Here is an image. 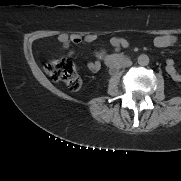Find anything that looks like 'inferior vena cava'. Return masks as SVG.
Here are the masks:
<instances>
[{
	"mask_svg": "<svg viewBox=\"0 0 181 181\" xmlns=\"http://www.w3.org/2000/svg\"><path fill=\"white\" fill-rule=\"evenodd\" d=\"M132 65V61L131 60H125L124 62H122L120 64V67H130Z\"/></svg>",
	"mask_w": 181,
	"mask_h": 181,
	"instance_id": "obj_1",
	"label": "inferior vena cava"
}]
</instances>
